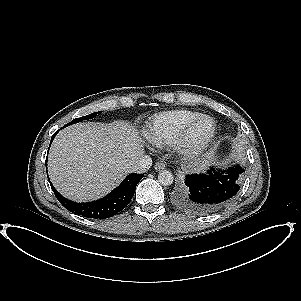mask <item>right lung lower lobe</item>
Wrapping results in <instances>:
<instances>
[{"label": "right lung lower lobe", "instance_id": "98d812e1", "mask_svg": "<svg viewBox=\"0 0 301 301\" xmlns=\"http://www.w3.org/2000/svg\"><path fill=\"white\" fill-rule=\"evenodd\" d=\"M58 132V131H57ZM57 132L52 136L51 142ZM50 142V144H51ZM47 161V160H46ZM144 174H131L110 194L100 200L88 203H76L64 198L51 184V188L59 202L69 211L94 219H105L123 210L131 201L138 182ZM49 180V179H48Z\"/></svg>", "mask_w": 301, "mask_h": 301}]
</instances>
